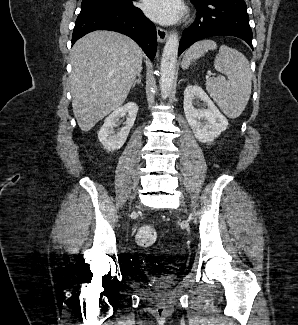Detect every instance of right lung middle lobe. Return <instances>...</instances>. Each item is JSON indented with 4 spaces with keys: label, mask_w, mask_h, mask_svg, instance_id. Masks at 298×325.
Wrapping results in <instances>:
<instances>
[{
    "label": "right lung middle lobe",
    "mask_w": 298,
    "mask_h": 325,
    "mask_svg": "<svg viewBox=\"0 0 298 325\" xmlns=\"http://www.w3.org/2000/svg\"><path fill=\"white\" fill-rule=\"evenodd\" d=\"M131 0H82L81 12L132 8Z\"/></svg>",
    "instance_id": "1"
}]
</instances>
